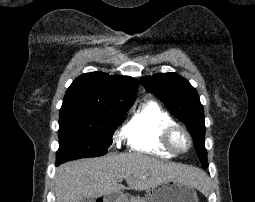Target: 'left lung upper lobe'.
<instances>
[{
  "label": "left lung upper lobe",
  "instance_id": "left-lung-upper-lobe-1",
  "mask_svg": "<svg viewBox=\"0 0 255 202\" xmlns=\"http://www.w3.org/2000/svg\"><path fill=\"white\" fill-rule=\"evenodd\" d=\"M140 82L149 92L159 97L175 117L186 124L203 167H208L207 151L204 146V111L196 89L176 73L145 76Z\"/></svg>",
  "mask_w": 255,
  "mask_h": 202
}]
</instances>
